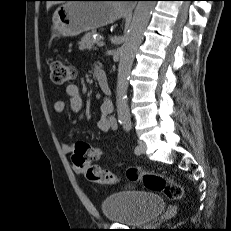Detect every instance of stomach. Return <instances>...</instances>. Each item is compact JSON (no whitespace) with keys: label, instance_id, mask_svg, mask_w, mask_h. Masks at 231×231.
<instances>
[{"label":"stomach","instance_id":"obj_1","mask_svg":"<svg viewBox=\"0 0 231 231\" xmlns=\"http://www.w3.org/2000/svg\"><path fill=\"white\" fill-rule=\"evenodd\" d=\"M125 13L117 2L73 0L59 6L53 14L54 36H77L108 25Z\"/></svg>","mask_w":231,"mask_h":231}]
</instances>
